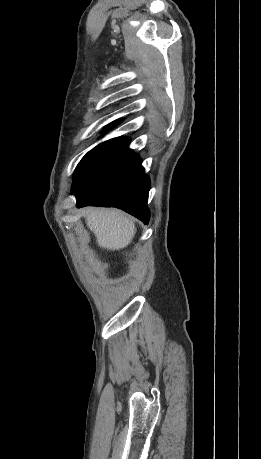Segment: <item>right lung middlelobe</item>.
<instances>
[{"label": "right lung middle lobe", "mask_w": 261, "mask_h": 459, "mask_svg": "<svg viewBox=\"0 0 261 459\" xmlns=\"http://www.w3.org/2000/svg\"><path fill=\"white\" fill-rule=\"evenodd\" d=\"M129 141V138H113L99 144L83 157L73 177L72 191L76 198L86 197L133 154L128 148Z\"/></svg>", "instance_id": "obj_1"}]
</instances>
